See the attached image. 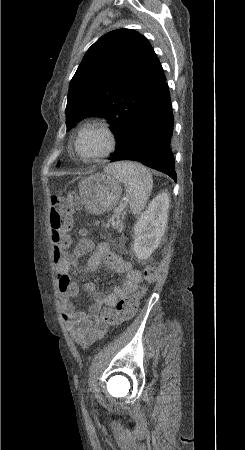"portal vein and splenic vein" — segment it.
Wrapping results in <instances>:
<instances>
[{
    "label": "portal vein and splenic vein",
    "mask_w": 245,
    "mask_h": 450,
    "mask_svg": "<svg viewBox=\"0 0 245 450\" xmlns=\"http://www.w3.org/2000/svg\"><path fill=\"white\" fill-rule=\"evenodd\" d=\"M127 204V201H125L122 205H120L118 208L115 209V213H120L124 210L125 206Z\"/></svg>",
    "instance_id": "obj_1"
}]
</instances>
